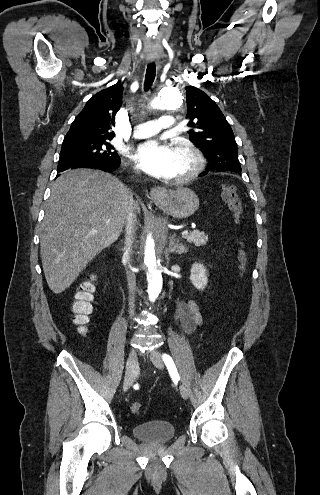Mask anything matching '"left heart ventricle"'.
Here are the masks:
<instances>
[{
    "instance_id": "1",
    "label": "left heart ventricle",
    "mask_w": 320,
    "mask_h": 495,
    "mask_svg": "<svg viewBox=\"0 0 320 495\" xmlns=\"http://www.w3.org/2000/svg\"><path fill=\"white\" fill-rule=\"evenodd\" d=\"M172 149L175 155L174 177L176 178L190 167V161L188 156L183 151L175 148Z\"/></svg>"
}]
</instances>
